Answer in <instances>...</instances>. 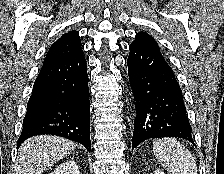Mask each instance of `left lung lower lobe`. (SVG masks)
Segmentation results:
<instances>
[{
  "instance_id": "1",
  "label": "left lung lower lobe",
  "mask_w": 224,
  "mask_h": 174,
  "mask_svg": "<svg viewBox=\"0 0 224 174\" xmlns=\"http://www.w3.org/2000/svg\"><path fill=\"white\" fill-rule=\"evenodd\" d=\"M127 65L136 106L132 148L160 137L194 144L181 88L159 47L130 45Z\"/></svg>"
}]
</instances>
